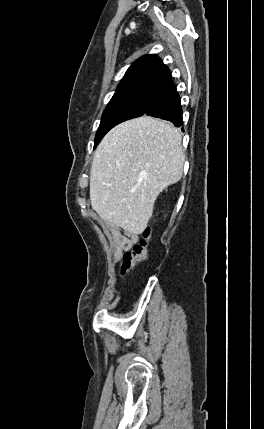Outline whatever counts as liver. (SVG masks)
Returning <instances> with one entry per match:
<instances>
[{"mask_svg": "<svg viewBox=\"0 0 264 429\" xmlns=\"http://www.w3.org/2000/svg\"><path fill=\"white\" fill-rule=\"evenodd\" d=\"M177 128L142 116L110 130L98 145L90 174L93 210L132 235L143 232L158 195L183 175Z\"/></svg>", "mask_w": 264, "mask_h": 429, "instance_id": "1", "label": "liver"}]
</instances>
